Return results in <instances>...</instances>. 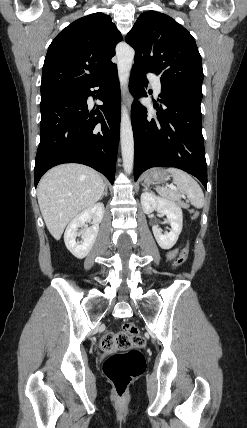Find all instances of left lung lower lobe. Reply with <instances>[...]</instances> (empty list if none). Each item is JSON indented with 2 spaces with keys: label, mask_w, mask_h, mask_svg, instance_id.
<instances>
[{
  "label": "left lung lower lobe",
  "mask_w": 247,
  "mask_h": 428,
  "mask_svg": "<svg viewBox=\"0 0 247 428\" xmlns=\"http://www.w3.org/2000/svg\"><path fill=\"white\" fill-rule=\"evenodd\" d=\"M147 70L132 67L129 90L134 97L147 96ZM161 102L155 104L151 118L138 101L132 104L134 132V179L151 167L171 166L182 169L207 188V165L201 126V96L162 86Z\"/></svg>",
  "instance_id": "1"
}]
</instances>
